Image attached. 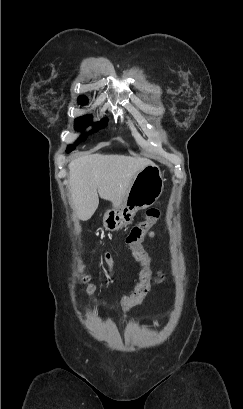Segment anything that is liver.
<instances>
[{"label": "liver", "mask_w": 243, "mask_h": 409, "mask_svg": "<svg viewBox=\"0 0 243 409\" xmlns=\"http://www.w3.org/2000/svg\"><path fill=\"white\" fill-rule=\"evenodd\" d=\"M152 162L139 156L87 154L73 159L69 167V192L74 217L90 219L99 196L120 206L137 172Z\"/></svg>", "instance_id": "obj_1"}]
</instances>
